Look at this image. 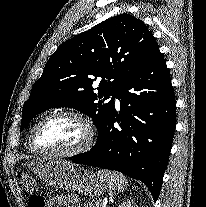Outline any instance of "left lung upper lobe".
Returning <instances> with one entry per match:
<instances>
[{
	"label": "left lung upper lobe",
	"instance_id": "5c2ea615",
	"mask_svg": "<svg viewBox=\"0 0 206 207\" xmlns=\"http://www.w3.org/2000/svg\"><path fill=\"white\" fill-rule=\"evenodd\" d=\"M157 46L146 25L129 14L62 43L23 106L21 130L45 110L70 107L91 117L99 136L114 111L117 92ZM109 96L113 98L104 102Z\"/></svg>",
	"mask_w": 206,
	"mask_h": 207
}]
</instances>
